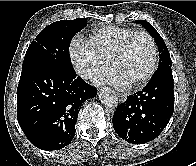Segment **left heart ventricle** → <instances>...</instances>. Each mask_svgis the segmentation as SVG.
Masks as SVG:
<instances>
[{
  "instance_id": "left-heart-ventricle-1",
  "label": "left heart ventricle",
  "mask_w": 196,
  "mask_h": 166,
  "mask_svg": "<svg viewBox=\"0 0 196 166\" xmlns=\"http://www.w3.org/2000/svg\"><path fill=\"white\" fill-rule=\"evenodd\" d=\"M152 62V49L149 40L136 35L129 42L126 53L119 58L113 68L130 83L143 76Z\"/></svg>"
}]
</instances>
